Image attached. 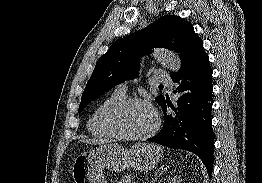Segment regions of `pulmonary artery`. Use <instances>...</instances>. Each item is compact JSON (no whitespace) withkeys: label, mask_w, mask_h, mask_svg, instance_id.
Here are the masks:
<instances>
[{"label":"pulmonary artery","mask_w":262,"mask_h":183,"mask_svg":"<svg viewBox=\"0 0 262 183\" xmlns=\"http://www.w3.org/2000/svg\"><path fill=\"white\" fill-rule=\"evenodd\" d=\"M154 79L157 82H162V83L168 85L170 88H172L174 86L173 81L167 76L155 74ZM116 91L125 95V93L127 92V85L126 84L118 85L117 88H116Z\"/></svg>","instance_id":"pulmonary-artery-1"}]
</instances>
